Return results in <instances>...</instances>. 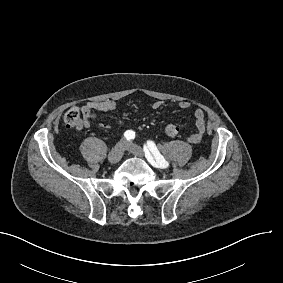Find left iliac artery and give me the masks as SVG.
Returning <instances> with one entry per match:
<instances>
[{"instance_id": "1", "label": "left iliac artery", "mask_w": 283, "mask_h": 283, "mask_svg": "<svg viewBox=\"0 0 283 283\" xmlns=\"http://www.w3.org/2000/svg\"><path fill=\"white\" fill-rule=\"evenodd\" d=\"M144 151H145V156L147 160L154 165L156 161V165L160 168H166L169 166V163L164 159V157L160 154V152L157 150L155 144L152 141L147 142V146L144 145ZM154 156L153 159L152 155Z\"/></svg>"}]
</instances>
